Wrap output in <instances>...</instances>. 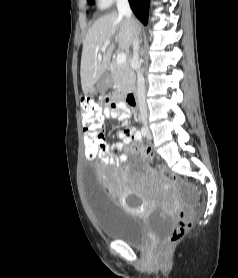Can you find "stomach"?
Wrapping results in <instances>:
<instances>
[{
    "instance_id": "stomach-1",
    "label": "stomach",
    "mask_w": 238,
    "mask_h": 278,
    "mask_svg": "<svg viewBox=\"0 0 238 278\" xmlns=\"http://www.w3.org/2000/svg\"><path fill=\"white\" fill-rule=\"evenodd\" d=\"M112 84V74H110L109 72L104 73L97 84L98 92L102 93L104 90H107L109 87H111Z\"/></svg>"
}]
</instances>
